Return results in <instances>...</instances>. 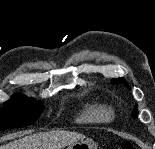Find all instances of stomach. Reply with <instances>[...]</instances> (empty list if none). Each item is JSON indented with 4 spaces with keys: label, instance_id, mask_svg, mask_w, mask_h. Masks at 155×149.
Wrapping results in <instances>:
<instances>
[{
    "label": "stomach",
    "instance_id": "0dacf381",
    "mask_svg": "<svg viewBox=\"0 0 155 149\" xmlns=\"http://www.w3.org/2000/svg\"><path fill=\"white\" fill-rule=\"evenodd\" d=\"M66 149H97V144L92 139L84 138L67 145Z\"/></svg>",
    "mask_w": 155,
    "mask_h": 149
}]
</instances>
